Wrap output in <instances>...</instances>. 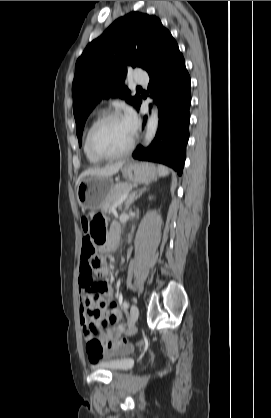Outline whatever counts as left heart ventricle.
I'll return each mask as SVG.
<instances>
[{
  "label": "left heart ventricle",
  "mask_w": 271,
  "mask_h": 418,
  "mask_svg": "<svg viewBox=\"0 0 271 418\" xmlns=\"http://www.w3.org/2000/svg\"><path fill=\"white\" fill-rule=\"evenodd\" d=\"M132 136L123 118L109 119L96 129L93 143L103 153H117L128 146Z\"/></svg>",
  "instance_id": "1"
}]
</instances>
